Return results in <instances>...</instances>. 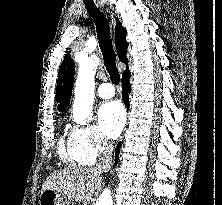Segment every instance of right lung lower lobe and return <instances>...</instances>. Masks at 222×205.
Returning <instances> with one entry per match:
<instances>
[{"instance_id":"98d812e1","label":"right lung lower lobe","mask_w":222,"mask_h":205,"mask_svg":"<svg viewBox=\"0 0 222 205\" xmlns=\"http://www.w3.org/2000/svg\"><path fill=\"white\" fill-rule=\"evenodd\" d=\"M130 76H131L130 71L125 73L124 75H122V89H123L122 99H123V102L125 103L127 109L129 108L128 95L131 92V87L129 84ZM119 149H120V142L118 143L116 150H115L116 162L118 159Z\"/></svg>"}]
</instances>
